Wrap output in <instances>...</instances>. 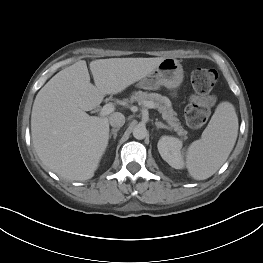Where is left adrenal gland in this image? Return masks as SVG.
<instances>
[{
	"label": "left adrenal gland",
	"mask_w": 263,
	"mask_h": 263,
	"mask_svg": "<svg viewBox=\"0 0 263 263\" xmlns=\"http://www.w3.org/2000/svg\"><path fill=\"white\" fill-rule=\"evenodd\" d=\"M155 125H156L157 129H159V128H164V129H167V130L170 129L168 126L164 125L162 122H159V121H156Z\"/></svg>",
	"instance_id": "obj_1"
}]
</instances>
